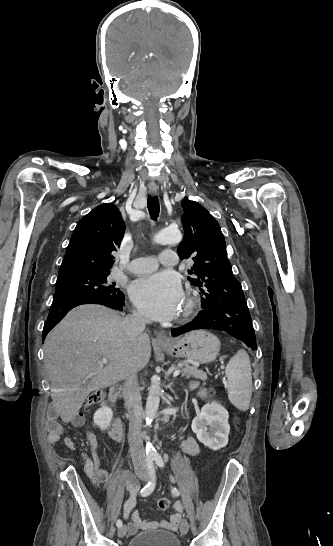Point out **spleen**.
Wrapping results in <instances>:
<instances>
[{
	"instance_id": "3e777b00",
	"label": "spleen",
	"mask_w": 333,
	"mask_h": 546,
	"mask_svg": "<svg viewBox=\"0 0 333 546\" xmlns=\"http://www.w3.org/2000/svg\"><path fill=\"white\" fill-rule=\"evenodd\" d=\"M225 374L230 402L241 411L248 410L252 396V376L249 356L245 350H239L230 359Z\"/></svg>"
}]
</instances>
